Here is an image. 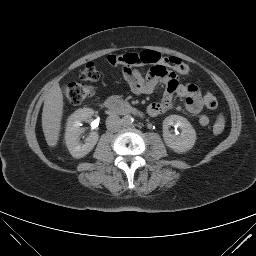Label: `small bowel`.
<instances>
[{
    "mask_svg": "<svg viewBox=\"0 0 256 256\" xmlns=\"http://www.w3.org/2000/svg\"><path fill=\"white\" fill-rule=\"evenodd\" d=\"M123 77L132 93L136 95H148L154 92L158 84L165 86L164 97L161 101L148 106L147 112L156 117L164 113L170 106L174 96L185 99L186 111L197 116L201 126H207L209 117L202 113L203 102L198 88L193 84H181L177 74L165 62L154 64L146 75L138 69L125 67L122 70Z\"/></svg>",
    "mask_w": 256,
    "mask_h": 256,
    "instance_id": "obj_1",
    "label": "small bowel"
}]
</instances>
